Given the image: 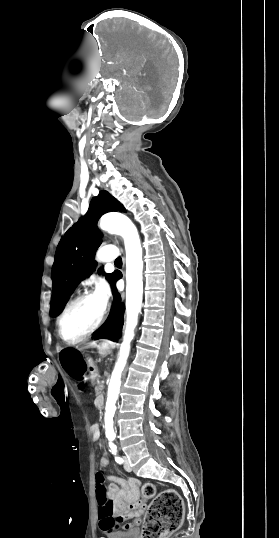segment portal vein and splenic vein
<instances>
[{"mask_svg":"<svg viewBox=\"0 0 279 538\" xmlns=\"http://www.w3.org/2000/svg\"><path fill=\"white\" fill-rule=\"evenodd\" d=\"M100 383H103V380H100Z\"/></svg>","mask_w":279,"mask_h":538,"instance_id":"portal-vein-and-splenic-vein-1","label":"portal vein and splenic vein"}]
</instances>
